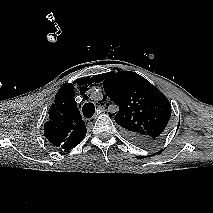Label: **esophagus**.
Wrapping results in <instances>:
<instances>
[{
  "mask_svg": "<svg viewBox=\"0 0 213 213\" xmlns=\"http://www.w3.org/2000/svg\"><path fill=\"white\" fill-rule=\"evenodd\" d=\"M98 109H99V111L102 112V113L106 112V108H105V106H103V105H99V106H98ZM96 118H97V115H95L94 117H92V118H91L90 120H88V121H90V123H92V121L95 120Z\"/></svg>",
  "mask_w": 213,
  "mask_h": 213,
  "instance_id": "1",
  "label": "esophagus"
}]
</instances>
